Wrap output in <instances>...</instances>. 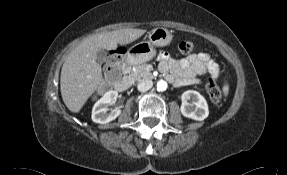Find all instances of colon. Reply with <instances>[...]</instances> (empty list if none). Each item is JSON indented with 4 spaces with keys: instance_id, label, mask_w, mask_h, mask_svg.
Instances as JSON below:
<instances>
[{
    "instance_id": "5ec220e1",
    "label": "colon",
    "mask_w": 287,
    "mask_h": 175,
    "mask_svg": "<svg viewBox=\"0 0 287 175\" xmlns=\"http://www.w3.org/2000/svg\"><path fill=\"white\" fill-rule=\"evenodd\" d=\"M178 49L182 54H189L194 50V43L192 41H182L180 42ZM116 54L118 56H121L124 54V50L120 48L116 51ZM118 79H119V72L117 70L111 71V77L109 78V80L114 82L117 81ZM205 87L210 100L214 104H218L222 98L221 92L219 88L215 85L214 80L211 77L206 78Z\"/></svg>"
}]
</instances>
